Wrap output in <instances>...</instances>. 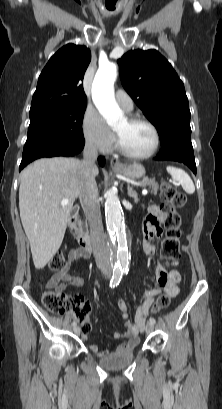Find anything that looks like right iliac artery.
Returning <instances> with one entry per match:
<instances>
[{
    "mask_svg": "<svg viewBox=\"0 0 222 409\" xmlns=\"http://www.w3.org/2000/svg\"><path fill=\"white\" fill-rule=\"evenodd\" d=\"M121 278H122V272L117 271L113 273L112 279L110 281V287L114 288L115 286H117L120 283ZM76 325H77V322L74 320L72 322V326L75 327Z\"/></svg>",
    "mask_w": 222,
    "mask_h": 409,
    "instance_id": "right-iliac-artery-1",
    "label": "right iliac artery"
}]
</instances>
